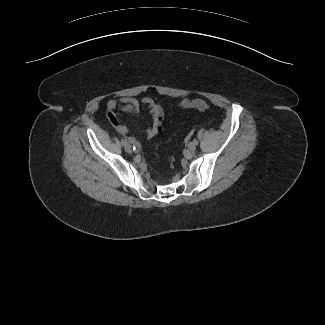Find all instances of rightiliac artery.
<instances>
[{
  "instance_id": "82829eb1",
  "label": "right iliac artery",
  "mask_w": 325,
  "mask_h": 325,
  "mask_svg": "<svg viewBox=\"0 0 325 325\" xmlns=\"http://www.w3.org/2000/svg\"><path fill=\"white\" fill-rule=\"evenodd\" d=\"M121 143H122V145H125L126 144V140L125 139H122L121 140Z\"/></svg>"
}]
</instances>
